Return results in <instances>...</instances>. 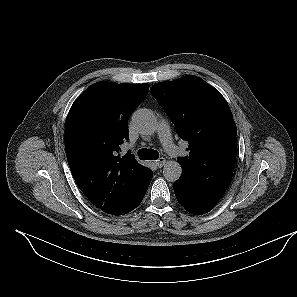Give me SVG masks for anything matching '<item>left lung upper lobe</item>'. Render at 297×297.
Listing matches in <instances>:
<instances>
[{"mask_svg": "<svg viewBox=\"0 0 297 297\" xmlns=\"http://www.w3.org/2000/svg\"><path fill=\"white\" fill-rule=\"evenodd\" d=\"M151 93L189 143V156L177 159L186 177L185 201L222 197L237 151L236 124L224 97L194 75L156 83Z\"/></svg>", "mask_w": 297, "mask_h": 297, "instance_id": "1", "label": "left lung upper lobe"}]
</instances>
